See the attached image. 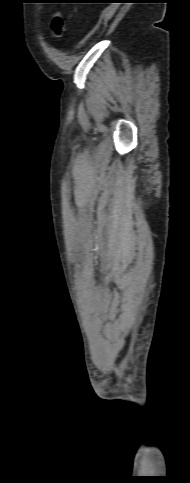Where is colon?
Here are the masks:
<instances>
[{"mask_svg": "<svg viewBox=\"0 0 190 483\" xmlns=\"http://www.w3.org/2000/svg\"><path fill=\"white\" fill-rule=\"evenodd\" d=\"M50 29L53 36L56 39H60L63 35L64 31V23L61 15L59 13H55L50 21Z\"/></svg>", "mask_w": 190, "mask_h": 483, "instance_id": "obj_1", "label": "colon"}]
</instances>
